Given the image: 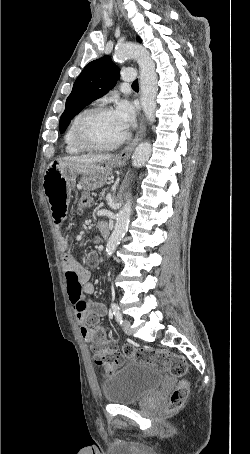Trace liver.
Returning a JSON list of instances; mask_svg holds the SVG:
<instances>
[{"label": "liver", "instance_id": "1", "mask_svg": "<svg viewBox=\"0 0 250 454\" xmlns=\"http://www.w3.org/2000/svg\"><path fill=\"white\" fill-rule=\"evenodd\" d=\"M111 154H90V155H81V156H67L60 160V162H65L71 165L81 166L89 165L98 162H105L112 159Z\"/></svg>", "mask_w": 250, "mask_h": 454}]
</instances>
